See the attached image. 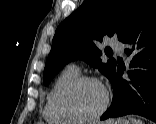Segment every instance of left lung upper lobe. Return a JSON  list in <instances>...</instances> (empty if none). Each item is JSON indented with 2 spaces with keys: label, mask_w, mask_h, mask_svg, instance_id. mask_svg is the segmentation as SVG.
<instances>
[{
  "label": "left lung upper lobe",
  "mask_w": 156,
  "mask_h": 124,
  "mask_svg": "<svg viewBox=\"0 0 156 124\" xmlns=\"http://www.w3.org/2000/svg\"><path fill=\"white\" fill-rule=\"evenodd\" d=\"M152 0H85L56 29L43 73L44 84L70 61L82 59L109 80L117 66L110 58L102 63L97 41L116 35L122 41L137 25Z\"/></svg>",
  "instance_id": "obj_1"
}]
</instances>
